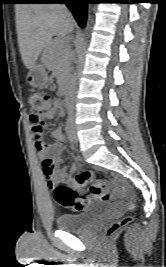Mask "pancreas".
I'll return each mask as SVG.
<instances>
[{"mask_svg":"<svg viewBox=\"0 0 166 267\" xmlns=\"http://www.w3.org/2000/svg\"><path fill=\"white\" fill-rule=\"evenodd\" d=\"M69 45L62 40L51 41L44 49L42 60L52 69L59 80H63L69 71Z\"/></svg>","mask_w":166,"mask_h":267,"instance_id":"1","label":"pancreas"}]
</instances>
